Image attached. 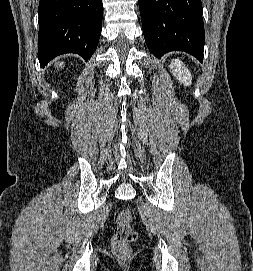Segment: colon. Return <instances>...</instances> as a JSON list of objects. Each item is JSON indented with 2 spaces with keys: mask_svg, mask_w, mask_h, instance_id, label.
Returning <instances> with one entry per match:
<instances>
[{
  "mask_svg": "<svg viewBox=\"0 0 253 271\" xmlns=\"http://www.w3.org/2000/svg\"><path fill=\"white\" fill-rule=\"evenodd\" d=\"M132 222L133 213L131 210L123 209L119 212L112 237V247L119 256L129 255L130 244L138 238V232L132 226Z\"/></svg>",
  "mask_w": 253,
  "mask_h": 271,
  "instance_id": "obj_1",
  "label": "colon"
}]
</instances>
